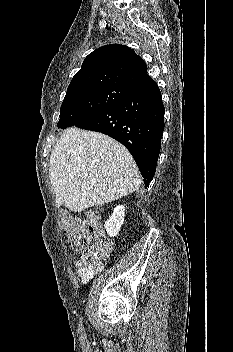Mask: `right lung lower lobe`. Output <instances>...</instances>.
Returning <instances> with one entry per match:
<instances>
[{
    "instance_id": "right-lung-lower-lobe-1",
    "label": "right lung lower lobe",
    "mask_w": 233,
    "mask_h": 352,
    "mask_svg": "<svg viewBox=\"0 0 233 352\" xmlns=\"http://www.w3.org/2000/svg\"><path fill=\"white\" fill-rule=\"evenodd\" d=\"M164 113L161 92L154 83L76 127L101 132L122 143L135 159L147 187L160 153Z\"/></svg>"
}]
</instances>
